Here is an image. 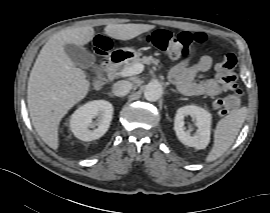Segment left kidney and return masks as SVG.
Segmentation results:
<instances>
[{"label":"left kidney","instance_id":"5707ae66","mask_svg":"<svg viewBox=\"0 0 270 213\" xmlns=\"http://www.w3.org/2000/svg\"><path fill=\"white\" fill-rule=\"evenodd\" d=\"M185 116L192 117L196 122L197 133L193 136L185 131ZM211 114L198 106L187 105L179 108L174 119V130L178 139L185 145L196 149H205L210 142Z\"/></svg>","mask_w":270,"mask_h":213}]
</instances>
